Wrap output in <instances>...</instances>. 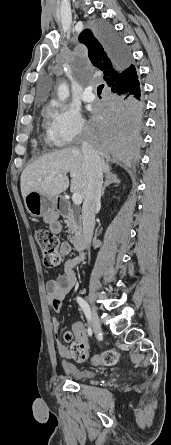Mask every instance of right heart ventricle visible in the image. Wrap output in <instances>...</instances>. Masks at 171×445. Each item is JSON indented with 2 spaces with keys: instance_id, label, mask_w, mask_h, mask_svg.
<instances>
[{
  "instance_id": "obj_1",
  "label": "right heart ventricle",
  "mask_w": 171,
  "mask_h": 445,
  "mask_svg": "<svg viewBox=\"0 0 171 445\" xmlns=\"http://www.w3.org/2000/svg\"><path fill=\"white\" fill-rule=\"evenodd\" d=\"M43 126H44V130H45L44 139H45L46 143L50 146L60 145L58 143V141L56 140L54 133L52 131L51 122H49L48 120H45Z\"/></svg>"
}]
</instances>
